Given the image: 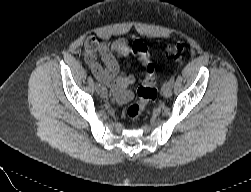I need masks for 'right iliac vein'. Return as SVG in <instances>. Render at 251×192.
I'll return each instance as SVG.
<instances>
[{
    "mask_svg": "<svg viewBox=\"0 0 251 192\" xmlns=\"http://www.w3.org/2000/svg\"><path fill=\"white\" fill-rule=\"evenodd\" d=\"M98 93L102 98H106L108 96V91L105 87H101Z\"/></svg>",
    "mask_w": 251,
    "mask_h": 192,
    "instance_id": "obj_1",
    "label": "right iliac vein"
}]
</instances>
